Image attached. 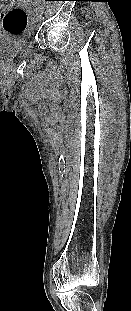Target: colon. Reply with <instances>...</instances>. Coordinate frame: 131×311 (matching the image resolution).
I'll return each instance as SVG.
<instances>
[{"label":"colon","mask_w":131,"mask_h":311,"mask_svg":"<svg viewBox=\"0 0 131 311\" xmlns=\"http://www.w3.org/2000/svg\"><path fill=\"white\" fill-rule=\"evenodd\" d=\"M28 24L26 12L21 8H14L7 12L2 20V26L5 32L10 34L23 33Z\"/></svg>","instance_id":"colon-1"}]
</instances>
